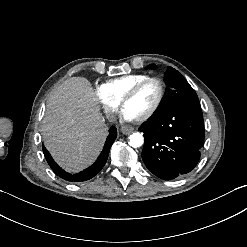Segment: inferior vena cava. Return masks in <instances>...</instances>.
<instances>
[{"label": "inferior vena cava", "instance_id": "602c4592", "mask_svg": "<svg viewBox=\"0 0 247 247\" xmlns=\"http://www.w3.org/2000/svg\"><path fill=\"white\" fill-rule=\"evenodd\" d=\"M108 120H109V122H116L117 117L115 115H109Z\"/></svg>", "mask_w": 247, "mask_h": 247}]
</instances>
